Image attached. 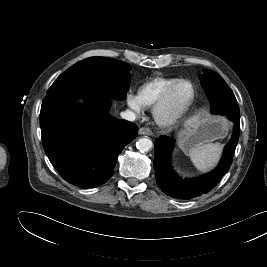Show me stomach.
Returning a JSON list of instances; mask_svg holds the SVG:
<instances>
[{
    "label": "stomach",
    "mask_w": 267,
    "mask_h": 267,
    "mask_svg": "<svg viewBox=\"0 0 267 267\" xmlns=\"http://www.w3.org/2000/svg\"><path fill=\"white\" fill-rule=\"evenodd\" d=\"M228 132V121L221 116L202 114L186 122L179 133V145L184 152L204 143L224 138Z\"/></svg>",
    "instance_id": "obj_1"
}]
</instances>
